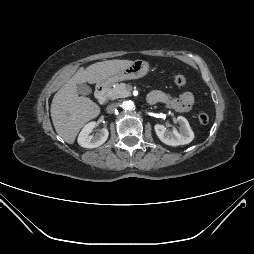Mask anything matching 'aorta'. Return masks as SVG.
Returning a JSON list of instances; mask_svg holds the SVG:
<instances>
[{
	"label": "aorta",
	"instance_id": "aorta-1",
	"mask_svg": "<svg viewBox=\"0 0 254 254\" xmlns=\"http://www.w3.org/2000/svg\"><path fill=\"white\" fill-rule=\"evenodd\" d=\"M123 108L126 110H132L134 108V103L132 101H125L123 103Z\"/></svg>",
	"mask_w": 254,
	"mask_h": 254
}]
</instances>
